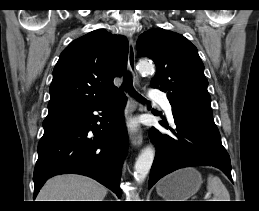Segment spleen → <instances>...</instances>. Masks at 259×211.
<instances>
[{"mask_svg":"<svg viewBox=\"0 0 259 211\" xmlns=\"http://www.w3.org/2000/svg\"><path fill=\"white\" fill-rule=\"evenodd\" d=\"M207 189L213 193V201H230L229 192L219 177L209 175Z\"/></svg>","mask_w":259,"mask_h":211,"instance_id":"1","label":"spleen"}]
</instances>
